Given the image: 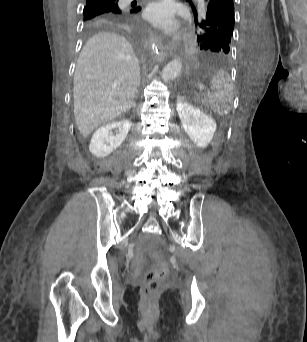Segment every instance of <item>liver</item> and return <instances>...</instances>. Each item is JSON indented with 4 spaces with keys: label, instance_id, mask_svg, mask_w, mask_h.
I'll use <instances>...</instances> for the list:
<instances>
[{
    "label": "liver",
    "instance_id": "6515ba94",
    "mask_svg": "<svg viewBox=\"0 0 307 342\" xmlns=\"http://www.w3.org/2000/svg\"><path fill=\"white\" fill-rule=\"evenodd\" d=\"M140 80L139 60L126 38L112 32L89 38L73 80L74 118L83 138L131 108Z\"/></svg>",
    "mask_w": 307,
    "mask_h": 342
}]
</instances>
